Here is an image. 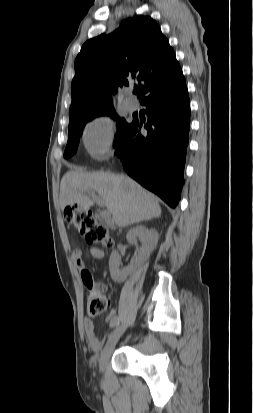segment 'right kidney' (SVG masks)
I'll use <instances>...</instances> for the list:
<instances>
[{
    "label": "right kidney",
    "mask_w": 253,
    "mask_h": 413,
    "mask_svg": "<svg viewBox=\"0 0 253 413\" xmlns=\"http://www.w3.org/2000/svg\"><path fill=\"white\" fill-rule=\"evenodd\" d=\"M127 241L136 246L135 260L127 268H120L121 256L117 251L112 252L109 259L111 277L116 282L124 281L135 269L139 268L149 258L155 249L159 234L156 230H148L145 226H137L127 233ZM137 240L142 243L137 246Z\"/></svg>",
    "instance_id": "1"
}]
</instances>
